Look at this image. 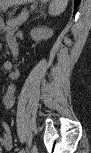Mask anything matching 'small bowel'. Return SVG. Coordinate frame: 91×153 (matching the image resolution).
I'll return each mask as SVG.
<instances>
[{"label":"small bowel","instance_id":"obj_1","mask_svg":"<svg viewBox=\"0 0 91 153\" xmlns=\"http://www.w3.org/2000/svg\"><path fill=\"white\" fill-rule=\"evenodd\" d=\"M12 76V73H11ZM14 100V86L12 84L8 85L7 87V92L3 97V105L6 109H9ZM1 145L7 149L10 150L13 146V140H12V135L9 127L7 125H4L3 127V132H2V137L0 139Z\"/></svg>","mask_w":91,"mask_h":153}]
</instances>
